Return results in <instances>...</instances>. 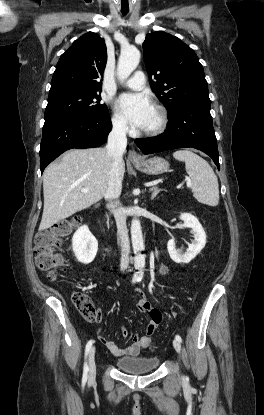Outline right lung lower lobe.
<instances>
[{
    "mask_svg": "<svg viewBox=\"0 0 264 415\" xmlns=\"http://www.w3.org/2000/svg\"><path fill=\"white\" fill-rule=\"evenodd\" d=\"M111 129L109 114L45 121L40 146L41 173L50 162L66 150L101 146L105 143Z\"/></svg>",
    "mask_w": 264,
    "mask_h": 415,
    "instance_id": "right-lung-lower-lobe-1",
    "label": "right lung lower lobe"
}]
</instances>
